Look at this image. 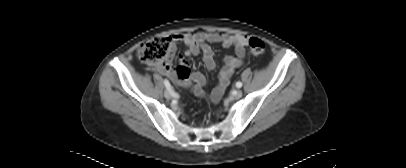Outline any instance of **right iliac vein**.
<instances>
[{
	"mask_svg": "<svg viewBox=\"0 0 406 168\" xmlns=\"http://www.w3.org/2000/svg\"><path fill=\"white\" fill-rule=\"evenodd\" d=\"M164 96H165L166 99H171V97H172V95H171V93H170L169 90H165Z\"/></svg>",
	"mask_w": 406,
	"mask_h": 168,
	"instance_id": "63e3f726",
	"label": "right iliac vein"
}]
</instances>
